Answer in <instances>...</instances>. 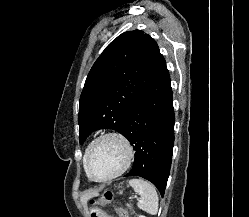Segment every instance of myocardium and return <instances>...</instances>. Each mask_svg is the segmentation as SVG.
Returning <instances> with one entry per match:
<instances>
[{"instance_id": "1", "label": "myocardium", "mask_w": 249, "mask_h": 217, "mask_svg": "<svg viewBox=\"0 0 249 217\" xmlns=\"http://www.w3.org/2000/svg\"><path fill=\"white\" fill-rule=\"evenodd\" d=\"M106 139H116L117 141H119L126 152L125 155V160L123 165L114 173H112L111 175L104 177V178H96L92 175L90 168H89V159L90 156L94 150V148L96 147V145ZM134 158V149L133 146L130 142V140L121 132L118 131H108L105 132L101 135H99L96 139H94L91 144L89 145L86 153H85V157H84V169L86 174L88 175V177L95 181V182H108L111 181L115 178H117L118 176L122 175L125 171H127V169L130 167V165L132 164Z\"/></svg>"}]
</instances>
